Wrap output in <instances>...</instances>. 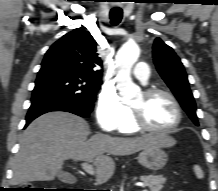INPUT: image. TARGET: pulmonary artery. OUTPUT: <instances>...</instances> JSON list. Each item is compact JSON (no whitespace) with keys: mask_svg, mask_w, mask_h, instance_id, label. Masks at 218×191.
Returning a JSON list of instances; mask_svg holds the SVG:
<instances>
[{"mask_svg":"<svg viewBox=\"0 0 218 191\" xmlns=\"http://www.w3.org/2000/svg\"><path fill=\"white\" fill-rule=\"evenodd\" d=\"M133 74L138 80L146 83L150 76V69L148 64L145 62L137 63Z\"/></svg>","mask_w":218,"mask_h":191,"instance_id":"1","label":"pulmonary artery"}]
</instances>
